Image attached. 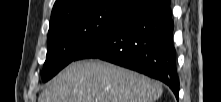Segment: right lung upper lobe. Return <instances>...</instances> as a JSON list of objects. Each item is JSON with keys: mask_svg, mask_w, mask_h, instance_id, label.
I'll return each mask as SVG.
<instances>
[{"mask_svg": "<svg viewBox=\"0 0 221 102\" xmlns=\"http://www.w3.org/2000/svg\"><path fill=\"white\" fill-rule=\"evenodd\" d=\"M84 0H56L51 16L60 13L62 11H65L67 9H70L72 7L77 6L79 3H81ZM130 3L134 6V8L139 7L142 5L146 0H128Z\"/></svg>", "mask_w": 221, "mask_h": 102, "instance_id": "right-lung-upper-lobe-1", "label": "right lung upper lobe"}]
</instances>
